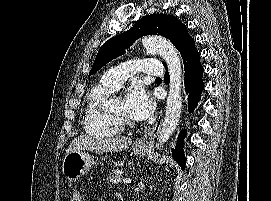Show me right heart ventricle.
Here are the masks:
<instances>
[{"mask_svg": "<svg viewBox=\"0 0 271 201\" xmlns=\"http://www.w3.org/2000/svg\"><path fill=\"white\" fill-rule=\"evenodd\" d=\"M113 89L99 85L87 96L84 115L85 131L94 137L107 138L121 134V127L111 113L103 107Z\"/></svg>", "mask_w": 271, "mask_h": 201, "instance_id": "right-heart-ventricle-1", "label": "right heart ventricle"}]
</instances>
